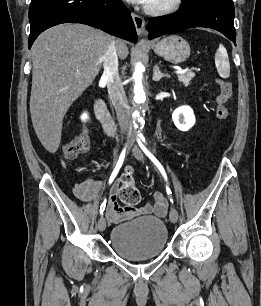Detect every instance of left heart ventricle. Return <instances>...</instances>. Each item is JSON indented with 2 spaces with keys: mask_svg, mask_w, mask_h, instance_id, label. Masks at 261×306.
<instances>
[{
  "mask_svg": "<svg viewBox=\"0 0 261 306\" xmlns=\"http://www.w3.org/2000/svg\"><path fill=\"white\" fill-rule=\"evenodd\" d=\"M168 0H150L149 4L151 5H162L166 3Z\"/></svg>",
  "mask_w": 261,
  "mask_h": 306,
  "instance_id": "b2bd125f",
  "label": "left heart ventricle"
}]
</instances>
